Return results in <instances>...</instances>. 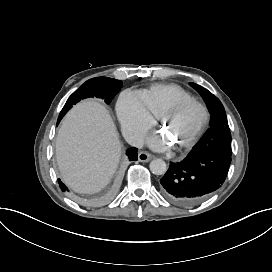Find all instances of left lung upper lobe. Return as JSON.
<instances>
[{"label": "left lung upper lobe", "instance_id": "obj_1", "mask_svg": "<svg viewBox=\"0 0 272 272\" xmlns=\"http://www.w3.org/2000/svg\"><path fill=\"white\" fill-rule=\"evenodd\" d=\"M190 85L203 97L211 114L210 129L189 154L220 152L231 156V133L225 109L220 100L207 89L195 83Z\"/></svg>", "mask_w": 272, "mask_h": 272}]
</instances>
